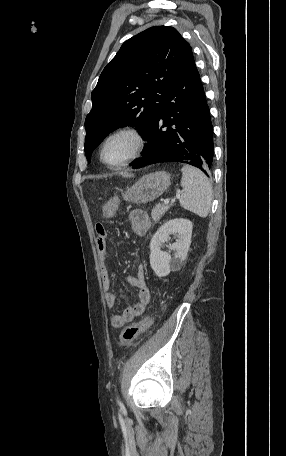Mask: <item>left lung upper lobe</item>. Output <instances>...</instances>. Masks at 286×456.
Segmentation results:
<instances>
[{
    "label": "left lung upper lobe",
    "instance_id": "1",
    "mask_svg": "<svg viewBox=\"0 0 286 456\" xmlns=\"http://www.w3.org/2000/svg\"><path fill=\"white\" fill-rule=\"evenodd\" d=\"M194 61L192 49L179 32L169 26L151 27L123 43L102 71L85 120V154L113 130L139 128L146 138L177 79Z\"/></svg>",
    "mask_w": 286,
    "mask_h": 456
}]
</instances>
